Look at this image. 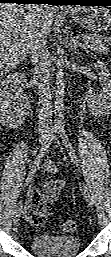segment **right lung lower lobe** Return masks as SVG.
Returning a JSON list of instances; mask_svg holds the SVG:
<instances>
[{"label":"right lung lower lobe","mask_w":111,"mask_h":257,"mask_svg":"<svg viewBox=\"0 0 111 257\" xmlns=\"http://www.w3.org/2000/svg\"><path fill=\"white\" fill-rule=\"evenodd\" d=\"M53 0H0V3H18V4H52Z\"/></svg>","instance_id":"98d812e1"}]
</instances>
